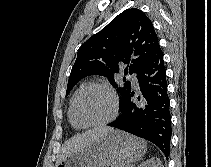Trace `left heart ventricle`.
<instances>
[{
	"label": "left heart ventricle",
	"mask_w": 211,
	"mask_h": 167,
	"mask_svg": "<svg viewBox=\"0 0 211 167\" xmlns=\"http://www.w3.org/2000/svg\"><path fill=\"white\" fill-rule=\"evenodd\" d=\"M113 110L112 98L101 88H90L78 98L75 113L84 123L99 122L107 119Z\"/></svg>",
	"instance_id": "obj_1"
}]
</instances>
